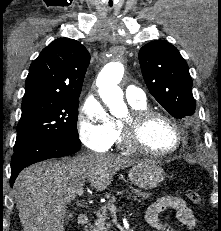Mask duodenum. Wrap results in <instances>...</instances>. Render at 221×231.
Returning <instances> with one entry per match:
<instances>
[{
  "instance_id": "duodenum-1",
  "label": "duodenum",
  "mask_w": 221,
  "mask_h": 231,
  "mask_svg": "<svg viewBox=\"0 0 221 231\" xmlns=\"http://www.w3.org/2000/svg\"><path fill=\"white\" fill-rule=\"evenodd\" d=\"M77 220H78V223H79L80 225H85V224L88 223L89 217H88L87 214L81 213V214L78 215V219H77Z\"/></svg>"
}]
</instances>
